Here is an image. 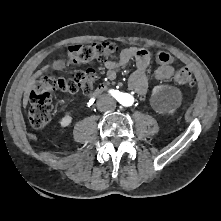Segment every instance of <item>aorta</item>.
Returning a JSON list of instances; mask_svg holds the SVG:
<instances>
[{"label":"aorta","mask_w":221,"mask_h":221,"mask_svg":"<svg viewBox=\"0 0 221 221\" xmlns=\"http://www.w3.org/2000/svg\"><path fill=\"white\" fill-rule=\"evenodd\" d=\"M133 102H134V98L130 94H127V93L121 94L120 103L123 106H131Z\"/></svg>","instance_id":"1"}]
</instances>
